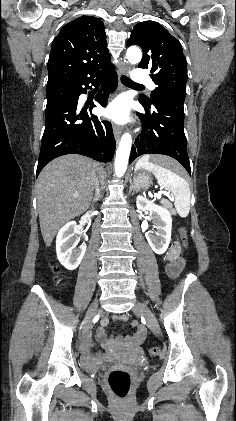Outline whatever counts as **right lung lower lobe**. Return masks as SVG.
Returning a JSON list of instances; mask_svg holds the SVG:
<instances>
[{
  "instance_id": "98d812e1",
  "label": "right lung lower lobe",
  "mask_w": 236,
  "mask_h": 421,
  "mask_svg": "<svg viewBox=\"0 0 236 421\" xmlns=\"http://www.w3.org/2000/svg\"><path fill=\"white\" fill-rule=\"evenodd\" d=\"M89 84H102L95 99L105 107L106 94L118 85L117 74L114 68H109L83 79L68 81L63 86L68 88L72 98L46 106L37 175L51 160L65 154H81L100 162H109L113 158L116 143L111 124L89 114L88 106L83 109L78 106L79 96L91 88ZM95 106L92 103L89 110Z\"/></svg>"
}]
</instances>
